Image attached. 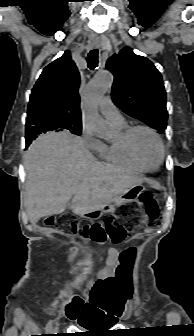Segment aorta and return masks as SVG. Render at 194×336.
<instances>
[{
    "mask_svg": "<svg viewBox=\"0 0 194 336\" xmlns=\"http://www.w3.org/2000/svg\"><path fill=\"white\" fill-rule=\"evenodd\" d=\"M113 76L109 71L98 73L87 85L83 97V125L97 137L110 140L113 129L98 113V103L111 88Z\"/></svg>",
    "mask_w": 194,
    "mask_h": 336,
    "instance_id": "aorta-1",
    "label": "aorta"
}]
</instances>
